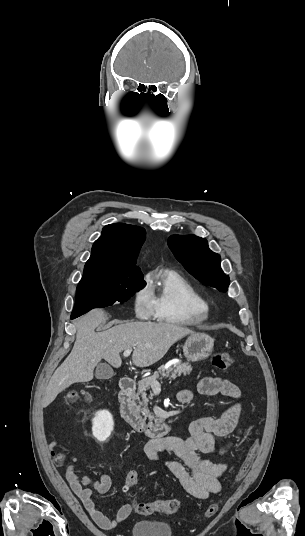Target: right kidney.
<instances>
[{"mask_svg":"<svg viewBox=\"0 0 305 536\" xmlns=\"http://www.w3.org/2000/svg\"><path fill=\"white\" fill-rule=\"evenodd\" d=\"M93 422V436L97 438L99 442H105L109 438L111 432H113L114 422L112 420L111 414L103 410V412H98L96 418L92 420Z\"/></svg>","mask_w":305,"mask_h":536,"instance_id":"1","label":"right kidney"}]
</instances>
